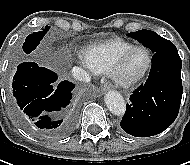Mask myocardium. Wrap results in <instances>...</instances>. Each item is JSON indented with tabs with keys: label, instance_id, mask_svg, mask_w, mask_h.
<instances>
[{
	"label": "myocardium",
	"instance_id": "myocardium-1",
	"mask_svg": "<svg viewBox=\"0 0 190 165\" xmlns=\"http://www.w3.org/2000/svg\"><path fill=\"white\" fill-rule=\"evenodd\" d=\"M139 49L146 51L148 54L147 66L143 70V72L139 74L138 76L134 78H126L123 75V68H124L125 61L130 54H132L134 51L139 50ZM152 65H153V55L150 49L143 45H135L121 54V56L118 58L116 62L114 69L111 72V77L113 81L115 82V84L118 85L119 87L131 88L133 86H136L137 84H139L146 78V76L148 75V73L150 72L152 68Z\"/></svg>",
	"mask_w": 190,
	"mask_h": 165
}]
</instances>
